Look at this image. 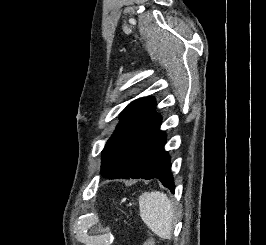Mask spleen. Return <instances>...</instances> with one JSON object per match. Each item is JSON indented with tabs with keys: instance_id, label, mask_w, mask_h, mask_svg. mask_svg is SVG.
Here are the masks:
<instances>
[{
	"instance_id": "1",
	"label": "spleen",
	"mask_w": 266,
	"mask_h": 245,
	"mask_svg": "<svg viewBox=\"0 0 266 245\" xmlns=\"http://www.w3.org/2000/svg\"><path fill=\"white\" fill-rule=\"evenodd\" d=\"M139 209L142 221L152 233L161 239H171L175 211L165 193H142L139 197Z\"/></svg>"
}]
</instances>
